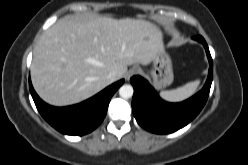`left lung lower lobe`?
I'll list each match as a JSON object with an SVG mask.
<instances>
[{
	"mask_svg": "<svg viewBox=\"0 0 248 165\" xmlns=\"http://www.w3.org/2000/svg\"><path fill=\"white\" fill-rule=\"evenodd\" d=\"M193 39L203 44L209 60L207 81L203 89L193 97L181 103H168L157 95L144 78L133 76L130 79L134 87L133 114L144 129L157 134L175 132L190 123L204 107L213 79V61L204 38L195 36Z\"/></svg>",
	"mask_w": 248,
	"mask_h": 165,
	"instance_id": "0a47b994",
	"label": "left lung lower lobe"
}]
</instances>
